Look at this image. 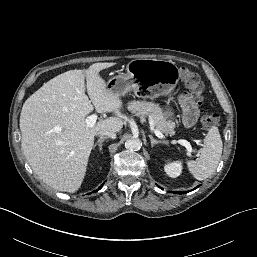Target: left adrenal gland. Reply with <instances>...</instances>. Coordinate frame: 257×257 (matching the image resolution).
<instances>
[{
    "mask_svg": "<svg viewBox=\"0 0 257 257\" xmlns=\"http://www.w3.org/2000/svg\"><path fill=\"white\" fill-rule=\"evenodd\" d=\"M149 138H150L152 147H154L155 145H158V144H165L166 143L165 141L155 140L152 135H149Z\"/></svg>",
    "mask_w": 257,
    "mask_h": 257,
    "instance_id": "left-adrenal-gland-1",
    "label": "left adrenal gland"
}]
</instances>
